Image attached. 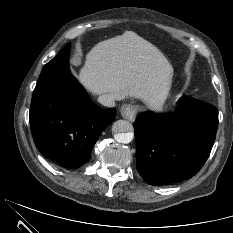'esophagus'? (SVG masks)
I'll return each mask as SVG.
<instances>
[{"label":"esophagus","instance_id":"obj_1","mask_svg":"<svg viewBox=\"0 0 233 233\" xmlns=\"http://www.w3.org/2000/svg\"><path fill=\"white\" fill-rule=\"evenodd\" d=\"M137 111H138L137 105L132 103L124 104L120 108L121 116L129 121H134Z\"/></svg>","mask_w":233,"mask_h":233}]
</instances>
